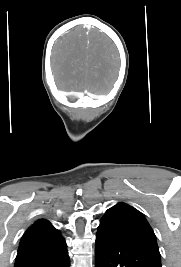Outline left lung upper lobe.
<instances>
[{
  "label": "left lung upper lobe",
  "mask_w": 181,
  "mask_h": 267,
  "mask_svg": "<svg viewBox=\"0 0 181 267\" xmlns=\"http://www.w3.org/2000/svg\"><path fill=\"white\" fill-rule=\"evenodd\" d=\"M98 229L113 231L160 256L156 236L144 215L125 203L109 208Z\"/></svg>",
  "instance_id": "1"
}]
</instances>
